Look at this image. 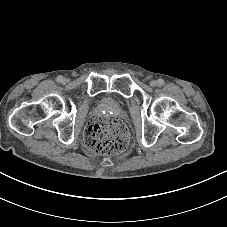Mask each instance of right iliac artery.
<instances>
[{"mask_svg": "<svg viewBox=\"0 0 227 227\" xmlns=\"http://www.w3.org/2000/svg\"><path fill=\"white\" fill-rule=\"evenodd\" d=\"M56 81L59 82V83H61L63 81V77L59 75L57 77Z\"/></svg>", "mask_w": 227, "mask_h": 227, "instance_id": "1", "label": "right iliac artery"}]
</instances>
